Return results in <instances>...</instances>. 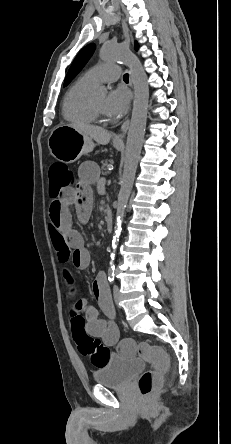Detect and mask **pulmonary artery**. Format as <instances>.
Segmentation results:
<instances>
[{"label":"pulmonary artery","instance_id":"1","mask_svg":"<svg viewBox=\"0 0 231 444\" xmlns=\"http://www.w3.org/2000/svg\"><path fill=\"white\" fill-rule=\"evenodd\" d=\"M120 74L121 70L117 64L104 63L90 68L84 77L93 84H98L115 81L120 77Z\"/></svg>","mask_w":231,"mask_h":444}]
</instances>
